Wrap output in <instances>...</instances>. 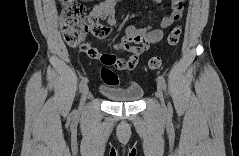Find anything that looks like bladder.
<instances>
[{
	"label": "bladder",
	"instance_id": "31cf9c89",
	"mask_svg": "<svg viewBox=\"0 0 239 156\" xmlns=\"http://www.w3.org/2000/svg\"><path fill=\"white\" fill-rule=\"evenodd\" d=\"M102 93L109 101L113 102H135L142 98L144 89L142 87H129L119 90L112 88H103Z\"/></svg>",
	"mask_w": 239,
	"mask_h": 156
}]
</instances>
